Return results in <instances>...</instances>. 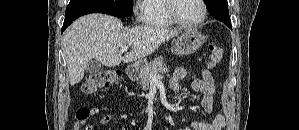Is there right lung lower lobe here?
Returning a JSON list of instances; mask_svg holds the SVG:
<instances>
[{"instance_id":"1","label":"right lung lower lobe","mask_w":299,"mask_h":130,"mask_svg":"<svg viewBox=\"0 0 299 130\" xmlns=\"http://www.w3.org/2000/svg\"><path fill=\"white\" fill-rule=\"evenodd\" d=\"M89 13H105L109 15H113L116 17H126V15L111 11V10H106V9H101L97 7H89V6H73V7H67L66 12H65V20L63 23V27L61 32L63 31L78 17L83 16L85 14Z\"/></svg>"}]
</instances>
